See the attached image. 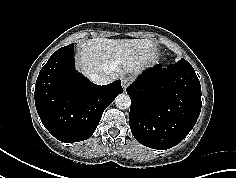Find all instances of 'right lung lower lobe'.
<instances>
[{
  "instance_id": "right-lung-lower-lobe-1",
  "label": "right lung lower lobe",
  "mask_w": 236,
  "mask_h": 178,
  "mask_svg": "<svg viewBox=\"0 0 236 178\" xmlns=\"http://www.w3.org/2000/svg\"><path fill=\"white\" fill-rule=\"evenodd\" d=\"M73 49L70 44L51 55L38 75L34 93L43 125L66 143L90 138L103 111L123 92L120 80L99 86L77 73Z\"/></svg>"
}]
</instances>
